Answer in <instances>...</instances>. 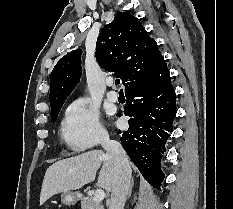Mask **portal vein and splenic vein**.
<instances>
[{
	"mask_svg": "<svg viewBox=\"0 0 233 209\" xmlns=\"http://www.w3.org/2000/svg\"><path fill=\"white\" fill-rule=\"evenodd\" d=\"M105 197V192L102 189H97L94 193L93 200L96 202H101Z\"/></svg>",
	"mask_w": 233,
	"mask_h": 209,
	"instance_id": "portal-vein-and-splenic-vein-1",
	"label": "portal vein and splenic vein"
}]
</instances>
